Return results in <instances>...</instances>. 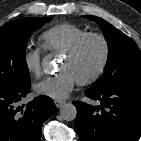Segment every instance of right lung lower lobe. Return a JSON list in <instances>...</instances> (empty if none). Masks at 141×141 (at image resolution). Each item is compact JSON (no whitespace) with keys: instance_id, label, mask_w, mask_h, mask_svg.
I'll list each match as a JSON object with an SVG mask.
<instances>
[{"instance_id":"98d812e1","label":"right lung lower lobe","mask_w":141,"mask_h":141,"mask_svg":"<svg viewBox=\"0 0 141 141\" xmlns=\"http://www.w3.org/2000/svg\"><path fill=\"white\" fill-rule=\"evenodd\" d=\"M30 83L0 89V141H40L42 124L56 112L53 100L39 96L22 108L18 102L30 91Z\"/></svg>"}]
</instances>
